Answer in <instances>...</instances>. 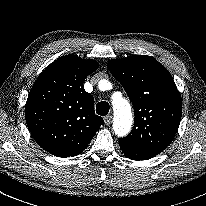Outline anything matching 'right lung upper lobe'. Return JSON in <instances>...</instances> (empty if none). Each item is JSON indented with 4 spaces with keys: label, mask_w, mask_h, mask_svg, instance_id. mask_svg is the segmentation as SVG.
I'll return each instance as SVG.
<instances>
[{
    "label": "right lung upper lobe",
    "mask_w": 206,
    "mask_h": 206,
    "mask_svg": "<svg viewBox=\"0 0 206 206\" xmlns=\"http://www.w3.org/2000/svg\"><path fill=\"white\" fill-rule=\"evenodd\" d=\"M99 64L75 55L51 63L35 81L25 105L28 128L44 150L57 157L80 154L103 124L85 78Z\"/></svg>",
    "instance_id": "1"
}]
</instances>
